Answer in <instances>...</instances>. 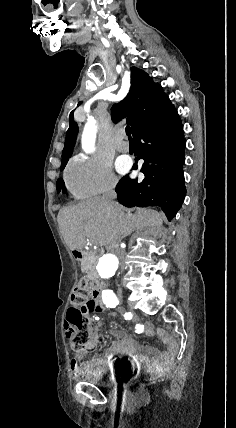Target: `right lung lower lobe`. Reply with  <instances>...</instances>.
Returning <instances> with one entry per match:
<instances>
[{"label": "right lung lower lobe", "mask_w": 236, "mask_h": 428, "mask_svg": "<svg viewBox=\"0 0 236 428\" xmlns=\"http://www.w3.org/2000/svg\"><path fill=\"white\" fill-rule=\"evenodd\" d=\"M133 137L143 159L142 182L126 175L116 186L118 201L126 207L159 206L172 220L181 208L186 189L182 164L185 140L183 125L172 106L136 128ZM137 165L133 166L136 169Z\"/></svg>", "instance_id": "1"}]
</instances>
